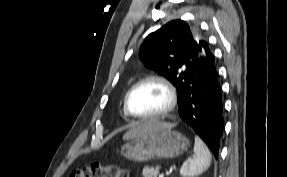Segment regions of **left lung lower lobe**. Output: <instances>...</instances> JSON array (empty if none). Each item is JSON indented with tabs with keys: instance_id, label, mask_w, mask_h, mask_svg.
<instances>
[{
	"instance_id": "1",
	"label": "left lung lower lobe",
	"mask_w": 287,
	"mask_h": 177,
	"mask_svg": "<svg viewBox=\"0 0 287 177\" xmlns=\"http://www.w3.org/2000/svg\"><path fill=\"white\" fill-rule=\"evenodd\" d=\"M214 61L212 55L198 70L192 81L183 88L178 104L182 120L202 138L218 159L224 119L221 88Z\"/></svg>"
}]
</instances>
